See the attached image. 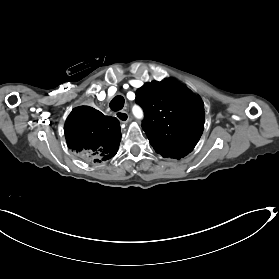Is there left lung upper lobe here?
<instances>
[{"mask_svg": "<svg viewBox=\"0 0 279 279\" xmlns=\"http://www.w3.org/2000/svg\"><path fill=\"white\" fill-rule=\"evenodd\" d=\"M136 103L145 113L142 128L156 153L180 159L199 141L204 126L202 102L173 79L144 84Z\"/></svg>", "mask_w": 279, "mask_h": 279, "instance_id": "1", "label": "left lung upper lobe"}]
</instances>
